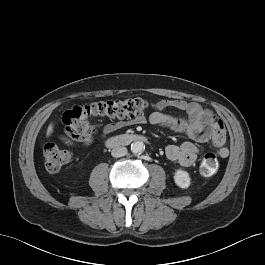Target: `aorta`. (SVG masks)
Here are the masks:
<instances>
[{"mask_svg":"<svg viewBox=\"0 0 265 265\" xmlns=\"http://www.w3.org/2000/svg\"><path fill=\"white\" fill-rule=\"evenodd\" d=\"M145 150V145L142 141H136L131 144V151L134 154H141Z\"/></svg>","mask_w":265,"mask_h":265,"instance_id":"obj_1","label":"aorta"}]
</instances>
